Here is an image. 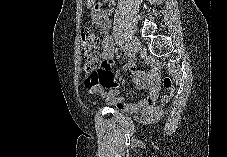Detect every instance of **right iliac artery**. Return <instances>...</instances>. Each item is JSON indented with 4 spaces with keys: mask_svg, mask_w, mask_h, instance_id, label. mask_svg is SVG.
Instances as JSON below:
<instances>
[{
    "mask_svg": "<svg viewBox=\"0 0 227 157\" xmlns=\"http://www.w3.org/2000/svg\"><path fill=\"white\" fill-rule=\"evenodd\" d=\"M125 53H130V48H125Z\"/></svg>",
    "mask_w": 227,
    "mask_h": 157,
    "instance_id": "right-iliac-artery-1",
    "label": "right iliac artery"
}]
</instances>
